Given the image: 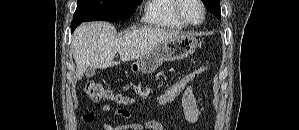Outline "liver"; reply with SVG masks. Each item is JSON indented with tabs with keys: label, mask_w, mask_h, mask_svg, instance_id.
Masks as SVG:
<instances>
[{
	"label": "liver",
	"mask_w": 299,
	"mask_h": 130,
	"mask_svg": "<svg viewBox=\"0 0 299 130\" xmlns=\"http://www.w3.org/2000/svg\"><path fill=\"white\" fill-rule=\"evenodd\" d=\"M178 35L175 30L144 26L116 36V29L108 22L83 23L72 35L77 77L80 79L88 67L105 69L120 64L113 61L116 53L122 62L135 60Z\"/></svg>",
	"instance_id": "6515ba94"
}]
</instances>
